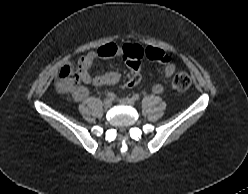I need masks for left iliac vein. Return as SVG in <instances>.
<instances>
[{
    "instance_id": "obj_1",
    "label": "left iliac vein",
    "mask_w": 248,
    "mask_h": 194,
    "mask_svg": "<svg viewBox=\"0 0 248 194\" xmlns=\"http://www.w3.org/2000/svg\"><path fill=\"white\" fill-rule=\"evenodd\" d=\"M120 103L122 105L133 106L135 104V101L132 98H122V99H120Z\"/></svg>"
}]
</instances>
